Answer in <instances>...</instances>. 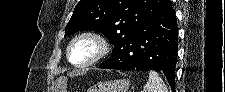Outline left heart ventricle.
<instances>
[{"mask_svg":"<svg viewBox=\"0 0 225 92\" xmlns=\"http://www.w3.org/2000/svg\"><path fill=\"white\" fill-rule=\"evenodd\" d=\"M96 45L89 40L78 41L71 50V57L74 62L82 63L94 56Z\"/></svg>","mask_w":225,"mask_h":92,"instance_id":"left-heart-ventricle-1","label":"left heart ventricle"}]
</instances>
